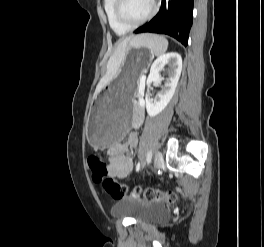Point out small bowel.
<instances>
[{
	"label": "small bowel",
	"instance_id": "c3829d8e",
	"mask_svg": "<svg viewBox=\"0 0 264 247\" xmlns=\"http://www.w3.org/2000/svg\"><path fill=\"white\" fill-rule=\"evenodd\" d=\"M143 120V115L140 113L134 117L132 126L137 128ZM138 145V133L132 130L127 135L126 139L110 148L109 150V175L113 178H124L130 174L133 169L134 160L129 154L130 149H135Z\"/></svg>",
	"mask_w": 264,
	"mask_h": 247
}]
</instances>
